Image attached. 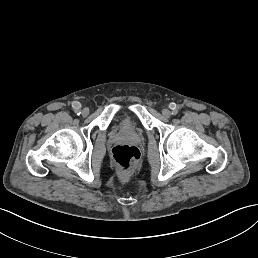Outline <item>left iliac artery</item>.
I'll return each instance as SVG.
<instances>
[{
    "instance_id": "obj_1",
    "label": "left iliac artery",
    "mask_w": 258,
    "mask_h": 258,
    "mask_svg": "<svg viewBox=\"0 0 258 258\" xmlns=\"http://www.w3.org/2000/svg\"><path fill=\"white\" fill-rule=\"evenodd\" d=\"M171 114L174 115V116L177 115L178 114V110L177 109L173 110Z\"/></svg>"
}]
</instances>
